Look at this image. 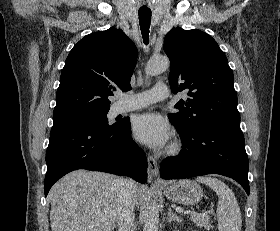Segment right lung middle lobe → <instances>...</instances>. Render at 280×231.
<instances>
[{
	"mask_svg": "<svg viewBox=\"0 0 280 231\" xmlns=\"http://www.w3.org/2000/svg\"><path fill=\"white\" fill-rule=\"evenodd\" d=\"M106 116H107V113L98 115V116L89 117V118L74 120V121H71V122L63 124V125H75V124L86 125V126L98 128L101 130L116 129L122 125V124L109 125Z\"/></svg>",
	"mask_w": 280,
	"mask_h": 231,
	"instance_id": "right-lung-middle-lobe-1",
	"label": "right lung middle lobe"
}]
</instances>
